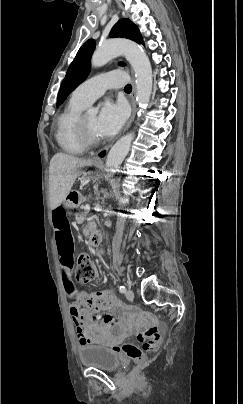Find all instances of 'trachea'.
<instances>
[{
    "mask_svg": "<svg viewBox=\"0 0 243 404\" xmlns=\"http://www.w3.org/2000/svg\"><path fill=\"white\" fill-rule=\"evenodd\" d=\"M124 90L131 91L132 90V85H130V84L126 85Z\"/></svg>",
    "mask_w": 243,
    "mask_h": 404,
    "instance_id": "trachea-1",
    "label": "trachea"
}]
</instances>
